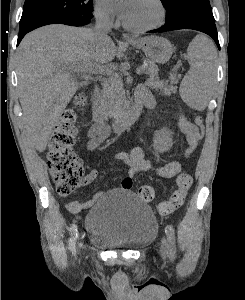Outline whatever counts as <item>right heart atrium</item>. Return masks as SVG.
<instances>
[{
	"label": "right heart atrium",
	"instance_id": "1",
	"mask_svg": "<svg viewBox=\"0 0 245 300\" xmlns=\"http://www.w3.org/2000/svg\"><path fill=\"white\" fill-rule=\"evenodd\" d=\"M109 0H95L94 12L97 19L103 23H111L114 20V11L108 3Z\"/></svg>",
	"mask_w": 245,
	"mask_h": 300
}]
</instances>
